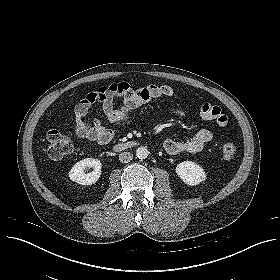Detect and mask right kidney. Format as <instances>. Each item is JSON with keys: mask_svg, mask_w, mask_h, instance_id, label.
Segmentation results:
<instances>
[{"mask_svg": "<svg viewBox=\"0 0 280 280\" xmlns=\"http://www.w3.org/2000/svg\"><path fill=\"white\" fill-rule=\"evenodd\" d=\"M92 167L94 170L86 173L85 168ZM101 175V163L93 158H86L77 162L69 171V178L80 185H92Z\"/></svg>", "mask_w": 280, "mask_h": 280, "instance_id": "ca27d5eb", "label": "right kidney"}]
</instances>
